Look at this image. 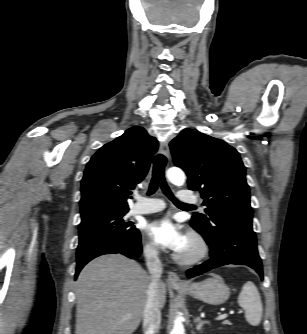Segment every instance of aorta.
Segmentation results:
<instances>
[{
    "label": "aorta",
    "instance_id": "762f6f07",
    "mask_svg": "<svg viewBox=\"0 0 307 334\" xmlns=\"http://www.w3.org/2000/svg\"><path fill=\"white\" fill-rule=\"evenodd\" d=\"M168 179L175 185L181 186L185 182V174L179 168H170L167 171ZM170 334H185V329L183 325V317L179 313L174 320L173 328Z\"/></svg>",
    "mask_w": 307,
    "mask_h": 334
}]
</instances>
